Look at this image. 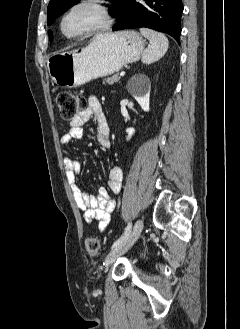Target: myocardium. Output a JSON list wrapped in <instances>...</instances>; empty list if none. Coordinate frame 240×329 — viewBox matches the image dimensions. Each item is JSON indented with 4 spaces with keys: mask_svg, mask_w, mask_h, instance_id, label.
Instances as JSON below:
<instances>
[{
    "mask_svg": "<svg viewBox=\"0 0 240 329\" xmlns=\"http://www.w3.org/2000/svg\"><path fill=\"white\" fill-rule=\"evenodd\" d=\"M83 6H91L96 8L100 15V21L84 30L75 33H67L64 29L65 20L73 13L74 10ZM112 22V12L106 0H76L61 14L58 22V29L63 37L70 40H75L104 31L111 26Z\"/></svg>",
    "mask_w": 240,
    "mask_h": 329,
    "instance_id": "myocardium-1",
    "label": "myocardium"
}]
</instances>
